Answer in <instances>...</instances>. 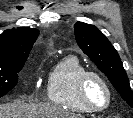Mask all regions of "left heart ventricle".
<instances>
[{
  "mask_svg": "<svg viewBox=\"0 0 133 118\" xmlns=\"http://www.w3.org/2000/svg\"><path fill=\"white\" fill-rule=\"evenodd\" d=\"M88 96L91 103L96 107L104 106L107 100V93L104 86L94 78L88 83Z\"/></svg>",
  "mask_w": 133,
  "mask_h": 118,
  "instance_id": "obj_1",
  "label": "left heart ventricle"
}]
</instances>
